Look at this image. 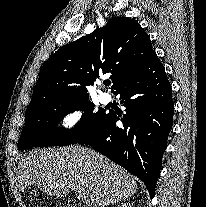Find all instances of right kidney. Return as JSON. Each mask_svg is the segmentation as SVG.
Wrapping results in <instances>:
<instances>
[{"mask_svg": "<svg viewBox=\"0 0 206 207\" xmlns=\"http://www.w3.org/2000/svg\"><path fill=\"white\" fill-rule=\"evenodd\" d=\"M118 207H132L130 203H122L121 205H118Z\"/></svg>", "mask_w": 206, "mask_h": 207, "instance_id": "1", "label": "right kidney"}]
</instances>
